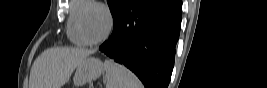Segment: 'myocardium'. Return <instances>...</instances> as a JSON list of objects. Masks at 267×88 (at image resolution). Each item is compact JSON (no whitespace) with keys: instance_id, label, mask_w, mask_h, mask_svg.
I'll return each mask as SVG.
<instances>
[{"instance_id":"obj_1","label":"myocardium","mask_w":267,"mask_h":88,"mask_svg":"<svg viewBox=\"0 0 267 88\" xmlns=\"http://www.w3.org/2000/svg\"><path fill=\"white\" fill-rule=\"evenodd\" d=\"M92 8H98V9L102 10L104 12V14L106 15V18H107L106 31H105L104 35L101 38L97 39V40L89 39L87 37V35L85 33V30H84V27H83V19H84L85 15H86V12L89 9H92ZM112 28H113V15H112L109 7H107L106 5H104L102 3H99V2H93L90 7L85 9L80 14L79 19H78L79 34L82 37V39L85 41V43L88 44V45H99V44L103 43L109 37V35H110L111 31H112Z\"/></svg>"}]
</instances>
